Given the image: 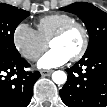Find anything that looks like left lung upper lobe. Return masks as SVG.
I'll use <instances>...</instances> for the list:
<instances>
[{"label": "left lung upper lobe", "instance_id": "5c2ea615", "mask_svg": "<svg viewBox=\"0 0 107 107\" xmlns=\"http://www.w3.org/2000/svg\"><path fill=\"white\" fill-rule=\"evenodd\" d=\"M61 10L76 14L86 25L89 33V45L86 53L107 44L106 12L86 2L73 3L61 8Z\"/></svg>", "mask_w": 107, "mask_h": 107}]
</instances>
